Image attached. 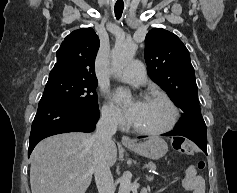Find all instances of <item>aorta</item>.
Here are the masks:
<instances>
[{"mask_svg":"<svg viewBox=\"0 0 237 193\" xmlns=\"http://www.w3.org/2000/svg\"><path fill=\"white\" fill-rule=\"evenodd\" d=\"M136 44L132 41L116 44L111 53L112 66L115 70H120L131 62L135 55ZM131 174L124 172L120 178L118 193H130Z\"/></svg>","mask_w":237,"mask_h":193,"instance_id":"1","label":"aorta"}]
</instances>
